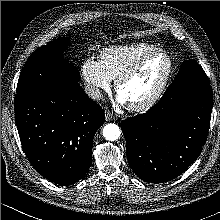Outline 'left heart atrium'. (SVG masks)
<instances>
[{"label": "left heart atrium", "mask_w": 220, "mask_h": 220, "mask_svg": "<svg viewBox=\"0 0 220 220\" xmlns=\"http://www.w3.org/2000/svg\"><path fill=\"white\" fill-rule=\"evenodd\" d=\"M117 101L120 103V104H127L125 98L122 96V95H118L117 97Z\"/></svg>", "instance_id": "1"}]
</instances>
